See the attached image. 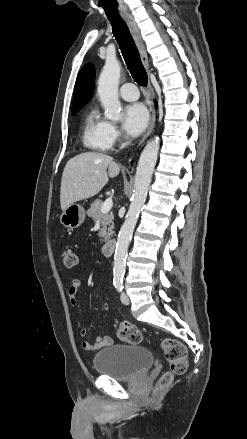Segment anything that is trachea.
I'll return each mask as SVG.
<instances>
[{
    "mask_svg": "<svg viewBox=\"0 0 247 439\" xmlns=\"http://www.w3.org/2000/svg\"><path fill=\"white\" fill-rule=\"evenodd\" d=\"M107 17L112 25L113 34L134 81L141 86H146L148 76L126 23L119 16L107 15Z\"/></svg>",
    "mask_w": 247,
    "mask_h": 439,
    "instance_id": "3493384b",
    "label": "trachea"
}]
</instances>
